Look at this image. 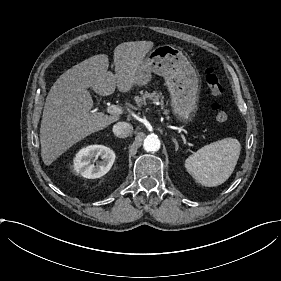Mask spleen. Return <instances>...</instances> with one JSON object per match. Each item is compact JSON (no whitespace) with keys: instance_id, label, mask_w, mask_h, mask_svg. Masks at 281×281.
I'll use <instances>...</instances> for the list:
<instances>
[{"instance_id":"spleen-1","label":"spleen","mask_w":281,"mask_h":281,"mask_svg":"<svg viewBox=\"0 0 281 281\" xmlns=\"http://www.w3.org/2000/svg\"><path fill=\"white\" fill-rule=\"evenodd\" d=\"M241 153L237 139L226 138L204 146L186 160L197 181L209 187L221 185L232 175Z\"/></svg>"}]
</instances>
